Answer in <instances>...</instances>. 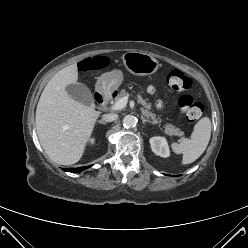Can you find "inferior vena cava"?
<instances>
[{
  "mask_svg": "<svg viewBox=\"0 0 248 248\" xmlns=\"http://www.w3.org/2000/svg\"><path fill=\"white\" fill-rule=\"evenodd\" d=\"M117 118H118V115H117V114H114V113L104 114V115L102 116V120L105 121V122H113V121H115Z\"/></svg>",
  "mask_w": 248,
  "mask_h": 248,
  "instance_id": "1",
  "label": "inferior vena cava"
}]
</instances>
